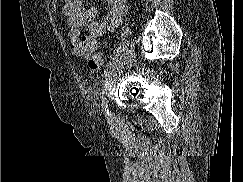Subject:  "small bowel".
<instances>
[{
  "mask_svg": "<svg viewBox=\"0 0 243 182\" xmlns=\"http://www.w3.org/2000/svg\"><path fill=\"white\" fill-rule=\"evenodd\" d=\"M110 9L103 20H98L97 6L86 7L82 0H64L63 14L69 27L70 48L72 53L89 59L97 50L99 38L117 28L127 11L126 0H106ZM87 27L83 35L81 28Z\"/></svg>",
  "mask_w": 243,
  "mask_h": 182,
  "instance_id": "small-bowel-1",
  "label": "small bowel"
}]
</instances>
